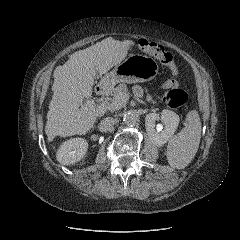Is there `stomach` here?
<instances>
[{"mask_svg":"<svg viewBox=\"0 0 240 240\" xmlns=\"http://www.w3.org/2000/svg\"><path fill=\"white\" fill-rule=\"evenodd\" d=\"M158 74L157 62L146 55L130 54L106 74L101 83L114 85L119 82L135 83L154 79Z\"/></svg>","mask_w":240,"mask_h":240,"instance_id":"stomach-1","label":"stomach"}]
</instances>
